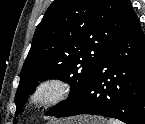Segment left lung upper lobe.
Returning a JSON list of instances; mask_svg holds the SVG:
<instances>
[{"mask_svg":"<svg viewBox=\"0 0 145 124\" xmlns=\"http://www.w3.org/2000/svg\"><path fill=\"white\" fill-rule=\"evenodd\" d=\"M133 14L130 0H54L36 28L22 67L16 114L40 80L56 78L71 85L68 99L50 114L76 99Z\"/></svg>","mask_w":145,"mask_h":124,"instance_id":"obj_1","label":"left lung upper lobe"}]
</instances>
